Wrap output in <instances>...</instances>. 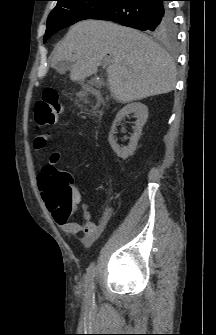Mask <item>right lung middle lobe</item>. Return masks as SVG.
<instances>
[{
  "instance_id": "dd1d6c3e",
  "label": "right lung middle lobe",
  "mask_w": 216,
  "mask_h": 335,
  "mask_svg": "<svg viewBox=\"0 0 216 335\" xmlns=\"http://www.w3.org/2000/svg\"><path fill=\"white\" fill-rule=\"evenodd\" d=\"M57 6L51 11L47 20L44 42L59 30L74 23L92 19L108 8L116 0H57ZM157 38L173 40L175 38L174 23L163 32L154 35Z\"/></svg>"
}]
</instances>
